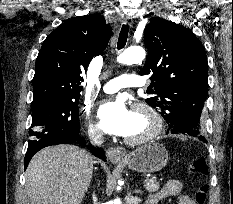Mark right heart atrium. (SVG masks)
Instances as JSON below:
<instances>
[{"mask_svg": "<svg viewBox=\"0 0 233 204\" xmlns=\"http://www.w3.org/2000/svg\"><path fill=\"white\" fill-rule=\"evenodd\" d=\"M85 128H86V133H87L88 137L92 141H99L102 139L101 130L87 118L85 120Z\"/></svg>", "mask_w": 233, "mask_h": 204, "instance_id": "right-heart-atrium-1", "label": "right heart atrium"}]
</instances>
